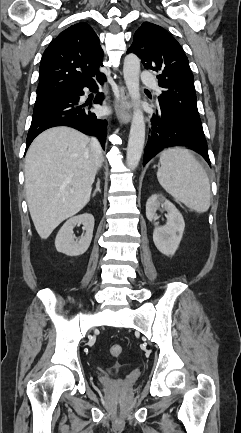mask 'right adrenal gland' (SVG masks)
<instances>
[{
  "instance_id": "2a0ac1e0",
  "label": "right adrenal gland",
  "mask_w": 241,
  "mask_h": 433,
  "mask_svg": "<svg viewBox=\"0 0 241 433\" xmlns=\"http://www.w3.org/2000/svg\"><path fill=\"white\" fill-rule=\"evenodd\" d=\"M98 192L101 193V189H100V180H99V179H97L96 189L93 191L92 196L94 197Z\"/></svg>"
}]
</instances>
